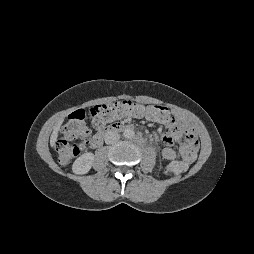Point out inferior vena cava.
Segmentation results:
<instances>
[{"instance_id":"inferior-vena-cava-1","label":"inferior vena cava","mask_w":254,"mask_h":254,"mask_svg":"<svg viewBox=\"0 0 254 254\" xmlns=\"http://www.w3.org/2000/svg\"><path fill=\"white\" fill-rule=\"evenodd\" d=\"M120 139V135L116 131H108L105 133L104 140L106 144L116 143Z\"/></svg>"}]
</instances>
